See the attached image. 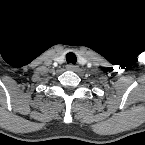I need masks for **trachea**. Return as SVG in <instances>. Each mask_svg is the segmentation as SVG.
Segmentation results:
<instances>
[{
	"label": "trachea",
	"instance_id": "1",
	"mask_svg": "<svg viewBox=\"0 0 145 145\" xmlns=\"http://www.w3.org/2000/svg\"><path fill=\"white\" fill-rule=\"evenodd\" d=\"M66 61H67V63L75 64L77 61V57L74 53H68L66 55Z\"/></svg>",
	"mask_w": 145,
	"mask_h": 145
}]
</instances>
